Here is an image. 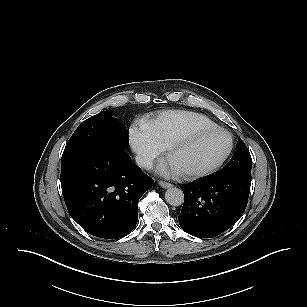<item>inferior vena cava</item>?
<instances>
[{"instance_id": "obj_1", "label": "inferior vena cava", "mask_w": 307, "mask_h": 307, "mask_svg": "<svg viewBox=\"0 0 307 307\" xmlns=\"http://www.w3.org/2000/svg\"><path fill=\"white\" fill-rule=\"evenodd\" d=\"M135 160H136L137 165L144 168V169L149 170L153 166L152 160L148 157L137 155L135 157Z\"/></svg>"}]
</instances>
